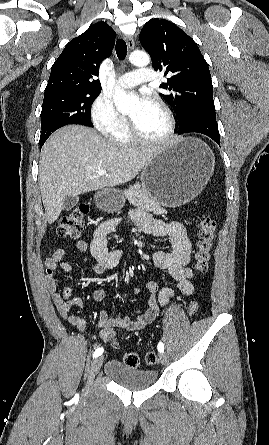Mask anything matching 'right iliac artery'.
<instances>
[{
    "label": "right iliac artery",
    "mask_w": 269,
    "mask_h": 445,
    "mask_svg": "<svg viewBox=\"0 0 269 445\" xmlns=\"http://www.w3.org/2000/svg\"><path fill=\"white\" fill-rule=\"evenodd\" d=\"M103 351H104V349H103L102 347L96 349L95 352H94V354H93V357L96 358V357L102 355Z\"/></svg>",
    "instance_id": "right-iliac-artery-1"
}]
</instances>
